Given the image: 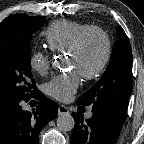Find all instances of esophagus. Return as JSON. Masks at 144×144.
I'll return each mask as SVG.
<instances>
[{"instance_id":"1","label":"esophagus","mask_w":144,"mask_h":144,"mask_svg":"<svg viewBox=\"0 0 144 144\" xmlns=\"http://www.w3.org/2000/svg\"><path fill=\"white\" fill-rule=\"evenodd\" d=\"M58 114H59V115L69 114V109H68L66 106H64V105H60V106L58 107Z\"/></svg>"}]
</instances>
